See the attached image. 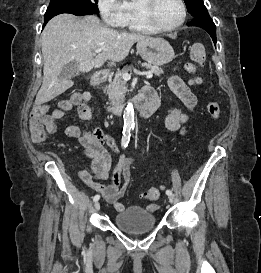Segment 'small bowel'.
<instances>
[{
  "label": "small bowel",
  "mask_w": 261,
  "mask_h": 273,
  "mask_svg": "<svg viewBox=\"0 0 261 273\" xmlns=\"http://www.w3.org/2000/svg\"><path fill=\"white\" fill-rule=\"evenodd\" d=\"M168 86L179 99L185 111L181 108L172 107L165 118V125L168 130L179 132L185 136L187 135V130L184 124L188 120L187 112L194 110L198 102L197 97L179 76H171L168 79ZM144 89H149L152 92L158 107L162 101V97L150 87H145ZM90 101L91 94L83 92L73 95L70 100L61 102L58 109L53 110L47 115L45 119L46 130L49 133H54L57 129L56 121L61 119L64 112L74 105L77 106V112L81 120L91 121L93 114L90 106L87 104ZM65 133L68 137L77 139L83 146L82 155L91 159L90 168L81 170V179L93 190L100 193L108 203L113 205L116 211H123L125 207L120 202V199L123 197L131 181L133 159L121 153L115 139L99 127L90 129L70 125L66 128ZM105 146L110 148L119 157L118 163L112 173L111 183L108 185L100 183V181L108 178L111 167V156ZM147 208L155 211L158 206L151 204Z\"/></svg>",
  "instance_id": "small-bowel-1"
}]
</instances>
